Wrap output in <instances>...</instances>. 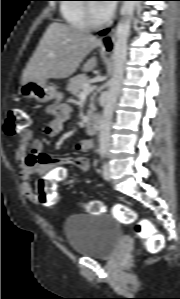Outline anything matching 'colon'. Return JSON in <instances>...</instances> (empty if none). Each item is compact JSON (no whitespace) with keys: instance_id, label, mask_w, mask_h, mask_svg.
Instances as JSON below:
<instances>
[{"instance_id":"5ec220e1","label":"colon","mask_w":180,"mask_h":299,"mask_svg":"<svg viewBox=\"0 0 180 299\" xmlns=\"http://www.w3.org/2000/svg\"><path fill=\"white\" fill-rule=\"evenodd\" d=\"M29 126V115L21 108H12L8 111L4 125L7 135L15 136ZM38 201L45 207H54L58 203V189L56 182L47 181L38 190ZM88 213L97 214L103 211V205L97 201L84 204ZM114 215L124 224H135V232L146 243L151 253H158L164 248V236L155 224L149 219L137 221L136 212L123 204H116L113 208Z\"/></svg>"}]
</instances>
